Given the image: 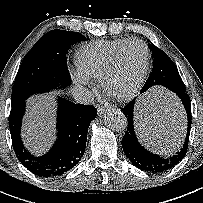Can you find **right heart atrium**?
Returning <instances> with one entry per match:
<instances>
[{
    "label": "right heart atrium",
    "mask_w": 203,
    "mask_h": 203,
    "mask_svg": "<svg viewBox=\"0 0 203 203\" xmlns=\"http://www.w3.org/2000/svg\"><path fill=\"white\" fill-rule=\"evenodd\" d=\"M73 80L79 86H85V87L91 86V81L89 77L84 75L79 69L73 72Z\"/></svg>",
    "instance_id": "d8ad5b80"
}]
</instances>
